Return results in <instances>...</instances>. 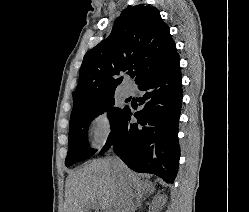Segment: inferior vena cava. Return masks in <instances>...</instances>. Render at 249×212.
I'll return each instance as SVG.
<instances>
[{
	"label": "inferior vena cava",
	"mask_w": 249,
	"mask_h": 212,
	"mask_svg": "<svg viewBox=\"0 0 249 212\" xmlns=\"http://www.w3.org/2000/svg\"><path fill=\"white\" fill-rule=\"evenodd\" d=\"M111 164H113L114 168H117L118 164H122L120 158L118 156H112L110 158ZM118 188H119V196L121 202V210L120 212H133V204H132V192L130 186H128L126 176H122L121 172H118Z\"/></svg>",
	"instance_id": "obj_1"
}]
</instances>
